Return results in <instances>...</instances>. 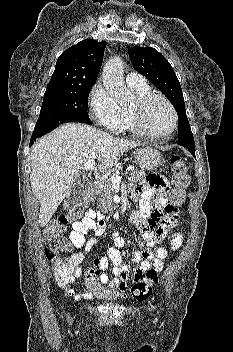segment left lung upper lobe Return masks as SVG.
Returning a JSON list of instances; mask_svg holds the SVG:
<instances>
[{
	"mask_svg": "<svg viewBox=\"0 0 233 352\" xmlns=\"http://www.w3.org/2000/svg\"><path fill=\"white\" fill-rule=\"evenodd\" d=\"M129 57L133 67L148 78L175 107L179 119L177 144L184 147H195L182 89L170 63L161 53L151 47L135 46L129 50Z\"/></svg>",
	"mask_w": 233,
	"mask_h": 352,
	"instance_id": "5c2ea615",
	"label": "left lung upper lobe"
}]
</instances>
